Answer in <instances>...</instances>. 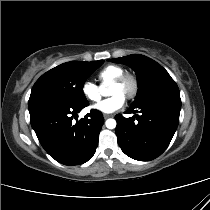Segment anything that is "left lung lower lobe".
I'll list each match as a JSON object with an SVG mask.
<instances>
[{
    "mask_svg": "<svg viewBox=\"0 0 210 210\" xmlns=\"http://www.w3.org/2000/svg\"><path fill=\"white\" fill-rule=\"evenodd\" d=\"M180 95L151 97L130 106L125 113H140L132 118L117 114L116 135L121 150L139 161L157 158L168 147L179 123Z\"/></svg>",
    "mask_w": 210,
    "mask_h": 210,
    "instance_id": "1",
    "label": "left lung lower lobe"
}]
</instances>
